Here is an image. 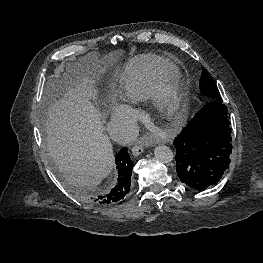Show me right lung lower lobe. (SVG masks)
<instances>
[{"label":"right lung lower lobe","mask_w":263,"mask_h":263,"mask_svg":"<svg viewBox=\"0 0 263 263\" xmlns=\"http://www.w3.org/2000/svg\"><path fill=\"white\" fill-rule=\"evenodd\" d=\"M115 161L118 169L117 185L105 195L92 197V201L103 205H112L122 200L130 191L131 171L134 164L130 159L126 148H122L120 150V152L116 155Z\"/></svg>","instance_id":"right-lung-lower-lobe-1"}]
</instances>
